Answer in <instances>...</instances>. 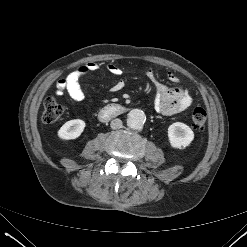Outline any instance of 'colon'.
I'll return each instance as SVG.
<instances>
[{
    "label": "colon",
    "instance_id": "colon-1",
    "mask_svg": "<svg viewBox=\"0 0 247 247\" xmlns=\"http://www.w3.org/2000/svg\"><path fill=\"white\" fill-rule=\"evenodd\" d=\"M63 107L52 97L44 100L42 120L45 123H53L57 121L63 114ZM192 125L196 130H202L207 122V112L204 108L197 107L191 114Z\"/></svg>",
    "mask_w": 247,
    "mask_h": 247
}]
</instances>
